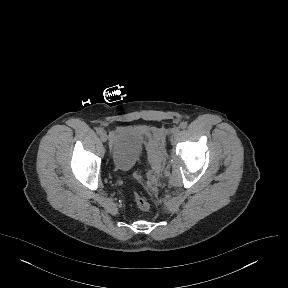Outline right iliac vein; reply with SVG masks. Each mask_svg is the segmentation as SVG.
<instances>
[{
    "label": "right iliac vein",
    "mask_w": 288,
    "mask_h": 288,
    "mask_svg": "<svg viewBox=\"0 0 288 288\" xmlns=\"http://www.w3.org/2000/svg\"><path fill=\"white\" fill-rule=\"evenodd\" d=\"M100 138H101V141H102V142H106L107 139H108V136H107V134H106L105 132H102V133L100 134Z\"/></svg>",
    "instance_id": "right-iliac-vein-1"
}]
</instances>
